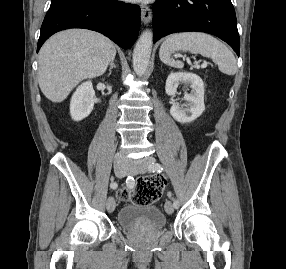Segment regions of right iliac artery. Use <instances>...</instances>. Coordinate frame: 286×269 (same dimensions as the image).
I'll return each mask as SVG.
<instances>
[{
	"label": "right iliac artery",
	"instance_id": "obj_1",
	"mask_svg": "<svg viewBox=\"0 0 286 269\" xmlns=\"http://www.w3.org/2000/svg\"><path fill=\"white\" fill-rule=\"evenodd\" d=\"M126 185H127L129 188H131V187L134 186V178H133V176H130V175H129V176L127 177V179H126ZM110 187H111L112 189H116V188L118 187V185H117L116 182H111Z\"/></svg>",
	"mask_w": 286,
	"mask_h": 269
}]
</instances>
